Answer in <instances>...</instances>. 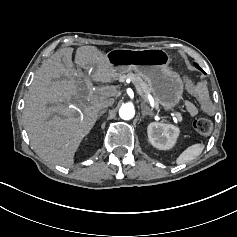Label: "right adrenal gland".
Masks as SVG:
<instances>
[{
    "label": "right adrenal gland",
    "instance_id": "1",
    "mask_svg": "<svg viewBox=\"0 0 237 237\" xmlns=\"http://www.w3.org/2000/svg\"><path fill=\"white\" fill-rule=\"evenodd\" d=\"M106 111H107L106 109L100 111L99 114H98V119H99V118L102 116V114H104Z\"/></svg>",
    "mask_w": 237,
    "mask_h": 237
}]
</instances>
